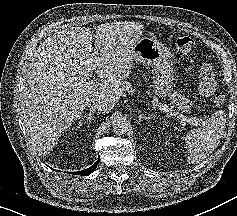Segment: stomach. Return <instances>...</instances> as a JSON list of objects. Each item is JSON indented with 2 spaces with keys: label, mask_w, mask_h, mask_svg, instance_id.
<instances>
[{
  "label": "stomach",
  "mask_w": 237,
  "mask_h": 216,
  "mask_svg": "<svg viewBox=\"0 0 237 216\" xmlns=\"http://www.w3.org/2000/svg\"><path fill=\"white\" fill-rule=\"evenodd\" d=\"M133 58L142 64L154 66L158 78L156 88L159 97L169 96L172 88L170 73V53L160 42L152 38H142L133 48Z\"/></svg>",
  "instance_id": "0dacf381"
}]
</instances>
